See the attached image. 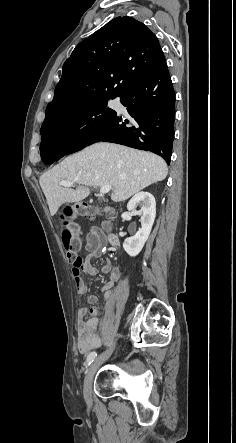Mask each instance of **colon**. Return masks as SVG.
Instances as JSON below:
<instances>
[{"label":"colon","instance_id":"colon-1","mask_svg":"<svg viewBox=\"0 0 236 443\" xmlns=\"http://www.w3.org/2000/svg\"><path fill=\"white\" fill-rule=\"evenodd\" d=\"M90 207L85 204L63 206L59 213V220L64 226L63 238L68 260L73 268L80 269L83 264L82 239L79 226L73 221L76 216L88 217Z\"/></svg>","mask_w":236,"mask_h":443}]
</instances>
